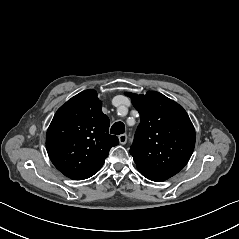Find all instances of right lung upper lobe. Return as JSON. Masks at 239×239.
Wrapping results in <instances>:
<instances>
[{"label":"right lung upper lobe","instance_id":"cb5924a9","mask_svg":"<svg viewBox=\"0 0 239 239\" xmlns=\"http://www.w3.org/2000/svg\"><path fill=\"white\" fill-rule=\"evenodd\" d=\"M95 90L72 97L55 113L47 130L46 149L54 166L73 180H84L103 166L111 147L118 145L109 134V118Z\"/></svg>","mask_w":239,"mask_h":239}]
</instances>
